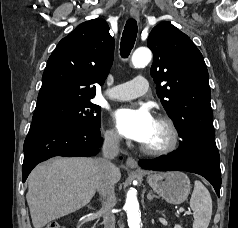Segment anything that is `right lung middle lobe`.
Segmentation results:
<instances>
[{"mask_svg": "<svg viewBox=\"0 0 238 228\" xmlns=\"http://www.w3.org/2000/svg\"><path fill=\"white\" fill-rule=\"evenodd\" d=\"M100 112V106L88 100L50 114L35 116L32 118V122H64L99 128L101 125Z\"/></svg>", "mask_w": 238, "mask_h": 228, "instance_id": "1", "label": "right lung middle lobe"}]
</instances>
